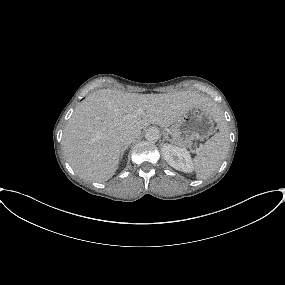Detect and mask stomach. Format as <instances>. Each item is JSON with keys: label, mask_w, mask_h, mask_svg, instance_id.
Returning <instances> with one entry per match:
<instances>
[{"label": "stomach", "mask_w": 285, "mask_h": 285, "mask_svg": "<svg viewBox=\"0 0 285 285\" xmlns=\"http://www.w3.org/2000/svg\"><path fill=\"white\" fill-rule=\"evenodd\" d=\"M215 121L210 111L195 106L170 128L171 142L180 147H191L194 141L213 133Z\"/></svg>", "instance_id": "stomach-1"}]
</instances>
